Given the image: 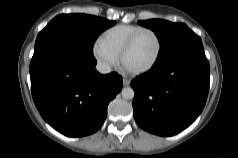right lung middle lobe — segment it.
Segmentation results:
<instances>
[{
    "label": "right lung middle lobe",
    "instance_id": "obj_1",
    "mask_svg": "<svg viewBox=\"0 0 238 158\" xmlns=\"http://www.w3.org/2000/svg\"><path fill=\"white\" fill-rule=\"evenodd\" d=\"M114 24L115 21L85 14L58 15L38 34L35 48L50 40H61L93 55V44L98 35Z\"/></svg>",
    "mask_w": 238,
    "mask_h": 158
}]
</instances>
